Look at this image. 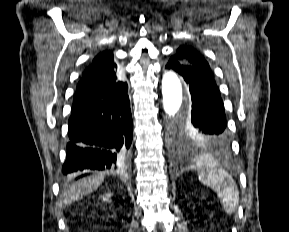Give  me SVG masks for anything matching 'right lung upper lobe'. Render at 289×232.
<instances>
[{
	"mask_svg": "<svg viewBox=\"0 0 289 232\" xmlns=\"http://www.w3.org/2000/svg\"><path fill=\"white\" fill-rule=\"evenodd\" d=\"M128 90L111 51L98 54L77 85L73 107L115 98Z\"/></svg>",
	"mask_w": 289,
	"mask_h": 232,
	"instance_id": "right-lung-upper-lobe-1",
	"label": "right lung upper lobe"
}]
</instances>
